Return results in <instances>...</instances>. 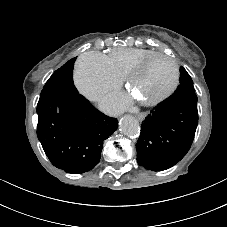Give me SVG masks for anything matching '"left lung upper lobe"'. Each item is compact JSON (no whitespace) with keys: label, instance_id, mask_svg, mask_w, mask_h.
Here are the masks:
<instances>
[{"label":"left lung upper lobe","instance_id":"obj_1","mask_svg":"<svg viewBox=\"0 0 227 227\" xmlns=\"http://www.w3.org/2000/svg\"><path fill=\"white\" fill-rule=\"evenodd\" d=\"M180 85L178 86L175 93H186V92H195L193 81L187 71L182 67L180 69Z\"/></svg>","mask_w":227,"mask_h":227}]
</instances>
